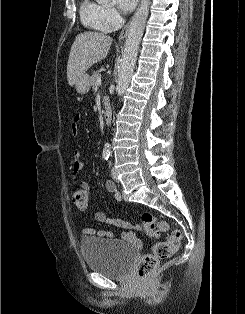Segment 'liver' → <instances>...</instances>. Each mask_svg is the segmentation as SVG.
Instances as JSON below:
<instances>
[{
  "mask_svg": "<svg viewBox=\"0 0 245 314\" xmlns=\"http://www.w3.org/2000/svg\"><path fill=\"white\" fill-rule=\"evenodd\" d=\"M112 40L110 36L98 32H83L76 36L67 64L69 86H73L93 64L107 56Z\"/></svg>",
  "mask_w": 245,
  "mask_h": 314,
  "instance_id": "liver-1",
  "label": "liver"
}]
</instances>
